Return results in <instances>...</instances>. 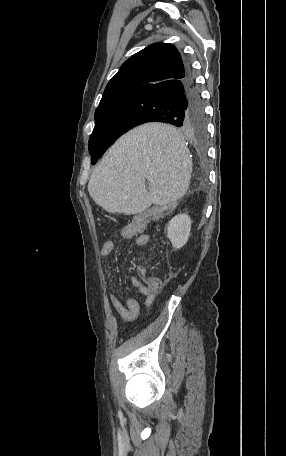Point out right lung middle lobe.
Wrapping results in <instances>:
<instances>
[{"label": "right lung middle lobe", "instance_id": "right-lung-middle-lobe-1", "mask_svg": "<svg viewBox=\"0 0 286 456\" xmlns=\"http://www.w3.org/2000/svg\"><path fill=\"white\" fill-rule=\"evenodd\" d=\"M95 127L89 139L91 163L99 158L122 134L139 125V107L132 96L108 102L95 111ZM205 133V120L195 130Z\"/></svg>", "mask_w": 286, "mask_h": 456}]
</instances>
